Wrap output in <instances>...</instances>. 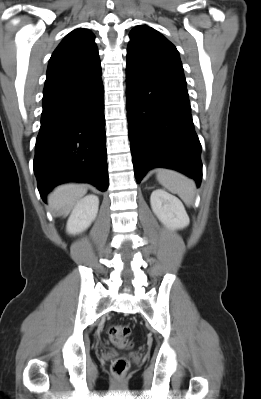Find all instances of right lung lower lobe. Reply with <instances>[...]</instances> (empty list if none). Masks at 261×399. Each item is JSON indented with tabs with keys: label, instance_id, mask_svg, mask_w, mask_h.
Wrapping results in <instances>:
<instances>
[{
	"label": "right lung lower lobe",
	"instance_id": "98d812e1",
	"mask_svg": "<svg viewBox=\"0 0 261 399\" xmlns=\"http://www.w3.org/2000/svg\"><path fill=\"white\" fill-rule=\"evenodd\" d=\"M101 74L44 94L36 139L34 172L44 202L53 187L68 181L108 187Z\"/></svg>",
	"mask_w": 261,
	"mask_h": 399
}]
</instances>
